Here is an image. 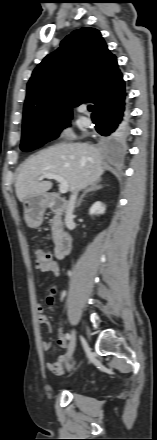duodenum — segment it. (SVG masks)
I'll return each mask as SVG.
<instances>
[{
	"label": "duodenum",
	"mask_w": 157,
	"mask_h": 440,
	"mask_svg": "<svg viewBox=\"0 0 157 440\" xmlns=\"http://www.w3.org/2000/svg\"><path fill=\"white\" fill-rule=\"evenodd\" d=\"M47 205L50 210L62 212L66 209L68 202L60 196L52 195L47 199ZM72 243V235L68 232H62L55 242V256L58 259H62L66 255H68L71 251Z\"/></svg>",
	"instance_id": "410a0bca"
}]
</instances>
